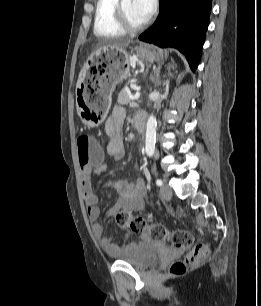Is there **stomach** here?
Listing matches in <instances>:
<instances>
[{"label":"stomach","instance_id":"0dacf381","mask_svg":"<svg viewBox=\"0 0 261 306\" xmlns=\"http://www.w3.org/2000/svg\"><path fill=\"white\" fill-rule=\"evenodd\" d=\"M136 53L151 63L161 58V53L146 45L137 47ZM130 64L131 56L125 49H99L89 57L85 67L97 66L100 71L90 78H80L77 85V108L86 126L96 127L103 122L112 103V93L128 77Z\"/></svg>","mask_w":261,"mask_h":306}]
</instances>
